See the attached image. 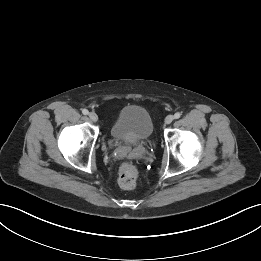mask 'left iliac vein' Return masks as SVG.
Segmentation results:
<instances>
[{"instance_id": "obj_1", "label": "left iliac vein", "mask_w": 261, "mask_h": 261, "mask_svg": "<svg viewBox=\"0 0 261 261\" xmlns=\"http://www.w3.org/2000/svg\"><path fill=\"white\" fill-rule=\"evenodd\" d=\"M173 120H174V116L168 115V116L165 118V123H166V124H170Z\"/></svg>"}]
</instances>
